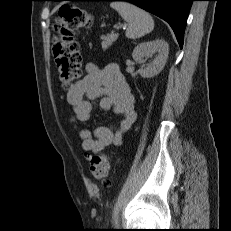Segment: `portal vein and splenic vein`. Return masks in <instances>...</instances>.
Masks as SVG:
<instances>
[{
  "instance_id": "1",
  "label": "portal vein and splenic vein",
  "mask_w": 231,
  "mask_h": 231,
  "mask_svg": "<svg viewBox=\"0 0 231 231\" xmlns=\"http://www.w3.org/2000/svg\"><path fill=\"white\" fill-rule=\"evenodd\" d=\"M115 28H116L117 30H119V29H121V28L126 29V28H127V25H126V24L123 25V26H118V25H116Z\"/></svg>"
}]
</instances>
